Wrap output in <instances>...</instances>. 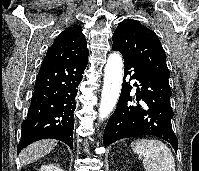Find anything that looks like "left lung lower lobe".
Masks as SVG:
<instances>
[{"label": "left lung lower lobe", "instance_id": "obj_1", "mask_svg": "<svg viewBox=\"0 0 199 171\" xmlns=\"http://www.w3.org/2000/svg\"><path fill=\"white\" fill-rule=\"evenodd\" d=\"M128 74L130 80H137L134 84L137 88L135 94L133 87L125 81ZM123 80L117 108L104 131V146L123 138L154 135L169 142L177 152L178 141L171 124L173 110L170 106L172 92L169 83L125 57ZM133 97L137 102L131 104Z\"/></svg>", "mask_w": 199, "mask_h": 171}]
</instances>
